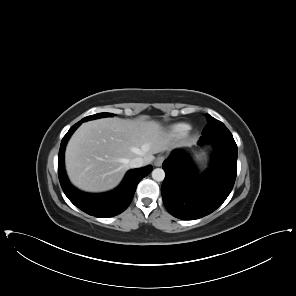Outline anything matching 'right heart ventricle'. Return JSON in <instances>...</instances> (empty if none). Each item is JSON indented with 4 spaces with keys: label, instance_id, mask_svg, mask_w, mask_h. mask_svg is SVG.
<instances>
[{
    "label": "right heart ventricle",
    "instance_id": "1",
    "mask_svg": "<svg viewBox=\"0 0 296 296\" xmlns=\"http://www.w3.org/2000/svg\"><path fill=\"white\" fill-rule=\"evenodd\" d=\"M190 130V126L187 124H176L171 128V132L175 136H183Z\"/></svg>",
    "mask_w": 296,
    "mask_h": 296
}]
</instances>
